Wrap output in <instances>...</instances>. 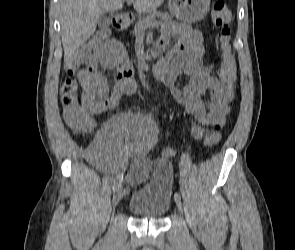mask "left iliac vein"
Returning <instances> with one entry per match:
<instances>
[{
    "mask_svg": "<svg viewBox=\"0 0 295 250\" xmlns=\"http://www.w3.org/2000/svg\"><path fill=\"white\" fill-rule=\"evenodd\" d=\"M175 201H176V204H177L178 209L180 211H182V203H181V201L179 199H176Z\"/></svg>",
    "mask_w": 295,
    "mask_h": 250,
    "instance_id": "obj_1",
    "label": "left iliac vein"
}]
</instances>
